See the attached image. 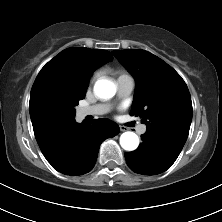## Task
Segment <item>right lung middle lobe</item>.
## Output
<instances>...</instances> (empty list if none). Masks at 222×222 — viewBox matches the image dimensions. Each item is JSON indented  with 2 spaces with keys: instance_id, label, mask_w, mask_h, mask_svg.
<instances>
[{
  "instance_id": "dd1d6c3e",
  "label": "right lung middle lobe",
  "mask_w": 222,
  "mask_h": 222,
  "mask_svg": "<svg viewBox=\"0 0 222 222\" xmlns=\"http://www.w3.org/2000/svg\"><path fill=\"white\" fill-rule=\"evenodd\" d=\"M85 97V93L82 95H77L72 98H70L67 102H53L50 111L53 114H65L69 116H75V109L74 106L78 104L79 100L83 99Z\"/></svg>"
}]
</instances>
